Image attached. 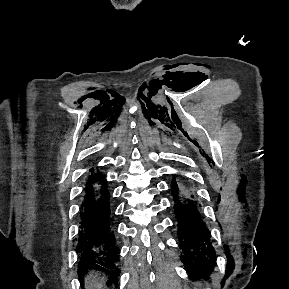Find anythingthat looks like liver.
Wrapping results in <instances>:
<instances>
[{"instance_id": "obj_1", "label": "liver", "mask_w": 289, "mask_h": 289, "mask_svg": "<svg viewBox=\"0 0 289 289\" xmlns=\"http://www.w3.org/2000/svg\"><path fill=\"white\" fill-rule=\"evenodd\" d=\"M90 289H101L102 288V283L99 282L98 280H96L95 278H93L91 280V283L89 285Z\"/></svg>"}]
</instances>
